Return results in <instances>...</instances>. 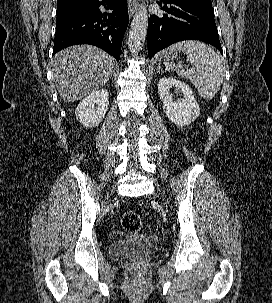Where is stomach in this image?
Here are the masks:
<instances>
[{
	"mask_svg": "<svg viewBox=\"0 0 272 303\" xmlns=\"http://www.w3.org/2000/svg\"><path fill=\"white\" fill-rule=\"evenodd\" d=\"M175 53H166V51H163L161 54H160V58L164 61H168L170 59H173L175 57Z\"/></svg>",
	"mask_w": 272,
	"mask_h": 303,
	"instance_id": "1",
	"label": "stomach"
}]
</instances>
